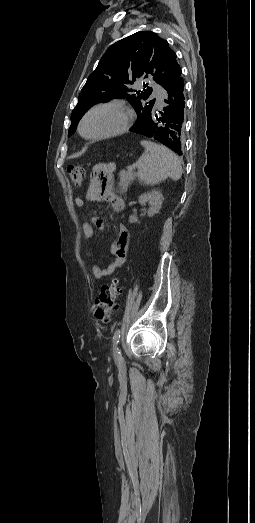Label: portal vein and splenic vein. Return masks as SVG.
Instances as JSON below:
<instances>
[{
    "mask_svg": "<svg viewBox=\"0 0 255 523\" xmlns=\"http://www.w3.org/2000/svg\"><path fill=\"white\" fill-rule=\"evenodd\" d=\"M127 172H128L129 174H132V173L134 172V168L129 167V168L127 169Z\"/></svg>",
    "mask_w": 255,
    "mask_h": 523,
    "instance_id": "portal-vein-and-splenic-vein-1",
    "label": "portal vein and splenic vein"
}]
</instances>
